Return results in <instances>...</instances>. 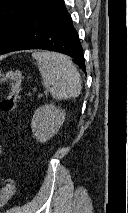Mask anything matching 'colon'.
Instances as JSON below:
<instances>
[{
	"label": "colon",
	"instance_id": "5ec220e1",
	"mask_svg": "<svg viewBox=\"0 0 128 213\" xmlns=\"http://www.w3.org/2000/svg\"><path fill=\"white\" fill-rule=\"evenodd\" d=\"M23 75L20 70H0V84L8 83L10 92L0 101V109L3 111H12L20 98L21 84ZM16 190V182L12 178L4 180V185L0 188V208L3 207Z\"/></svg>",
	"mask_w": 128,
	"mask_h": 213
}]
</instances>
